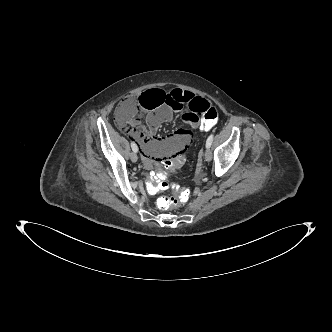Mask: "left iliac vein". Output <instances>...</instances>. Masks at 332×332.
<instances>
[{
    "instance_id": "4c4485c4",
    "label": "left iliac vein",
    "mask_w": 332,
    "mask_h": 332,
    "mask_svg": "<svg viewBox=\"0 0 332 332\" xmlns=\"http://www.w3.org/2000/svg\"><path fill=\"white\" fill-rule=\"evenodd\" d=\"M204 159L208 162L211 161V159H212V153L209 148H206V150L204 152Z\"/></svg>"
}]
</instances>
